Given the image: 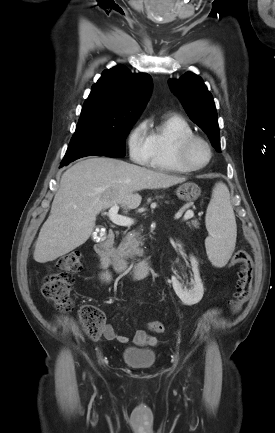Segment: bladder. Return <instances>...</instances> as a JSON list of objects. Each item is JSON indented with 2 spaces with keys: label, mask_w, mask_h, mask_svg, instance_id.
Masks as SVG:
<instances>
[{
  "label": "bladder",
  "mask_w": 275,
  "mask_h": 433,
  "mask_svg": "<svg viewBox=\"0 0 275 433\" xmlns=\"http://www.w3.org/2000/svg\"><path fill=\"white\" fill-rule=\"evenodd\" d=\"M156 355L152 349L127 347L122 352V360L134 368H149L155 363Z\"/></svg>",
  "instance_id": "bladder-1"
}]
</instances>
